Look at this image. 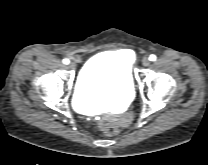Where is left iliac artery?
I'll return each instance as SVG.
<instances>
[{
	"label": "left iliac artery",
	"mask_w": 208,
	"mask_h": 165,
	"mask_svg": "<svg viewBox=\"0 0 208 165\" xmlns=\"http://www.w3.org/2000/svg\"><path fill=\"white\" fill-rule=\"evenodd\" d=\"M149 60H150V61H155V60H156V56H155V55H153V54H152V55H150Z\"/></svg>",
	"instance_id": "obj_1"
}]
</instances>
